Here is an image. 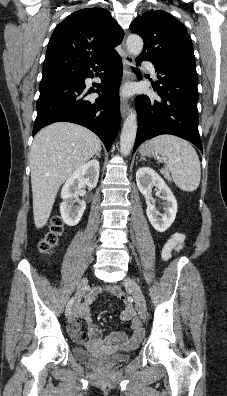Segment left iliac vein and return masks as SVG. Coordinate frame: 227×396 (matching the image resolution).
<instances>
[{
  "instance_id": "left-iliac-vein-1",
  "label": "left iliac vein",
  "mask_w": 227,
  "mask_h": 396,
  "mask_svg": "<svg viewBox=\"0 0 227 396\" xmlns=\"http://www.w3.org/2000/svg\"><path fill=\"white\" fill-rule=\"evenodd\" d=\"M124 285L132 291L140 317L142 320H145L147 316V306L140 286L135 280L129 277L124 280Z\"/></svg>"
}]
</instances>
